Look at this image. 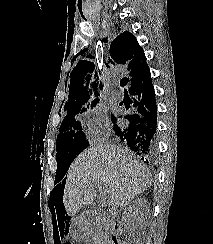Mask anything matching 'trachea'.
I'll use <instances>...</instances> for the list:
<instances>
[{"instance_id":"3493384b","label":"trachea","mask_w":213,"mask_h":244,"mask_svg":"<svg viewBox=\"0 0 213 244\" xmlns=\"http://www.w3.org/2000/svg\"><path fill=\"white\" fill-rule=\"evenodd\" d=\"M128 78H123L121 81H120V85L122 86V87H124V86H126V84L128 83ZM125 92H126V90H125Z\"/></svg>"}]
</instances>
